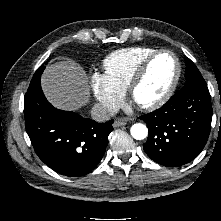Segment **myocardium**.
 <instances>
[{
    "label": "myocardium",
    "instance_id": "myocardium-1",
    "mask_svg": "<svg viewBox=\"0 0 221 221\" xmlns=\"http://www.w3.org/2000/svg\"><path fill=\"white\" fill-rule=\"evenodd\" d=\"M170 54L174 61H175V66H176V70H175V74L174 77L170 83V85L168 86V88L164 91V93L162 95H160L158 98H156L155 100H152L150 102H137L134 99V95L135 92L138 88V86L142 83V81L144 80L148 69L151 65V63L154 61V59L156 57H158L161 54ZM181 63L180 60L178 58V56L171 50L169 49H158L156 51H154L153 53H151L150 55H148L139 65V67L137 68L133 78L130 81V84L127 88V93L129 98L134 101L140 108L145 109V110H153V109H157L159 107H161L162 105H164L173 95V93L175 92L177 85L179 83L180 77H181Z\"/></svg>",
    "mask_w": 221,
    "mask_h": 221
}]
</instances>
